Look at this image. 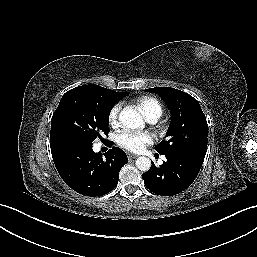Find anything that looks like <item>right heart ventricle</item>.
Instances as JSON below:
<instances>
[{"label":"right heart ventricle","instance_id":"obj_1","mask_svg":"<svg viewBox=\"0 0 257 257\" xmlns=\"http://www.w3.org/2000/svg\"><path fill=\"white\" fill-rule=\"evenodd\" d=\"M134 103L147 120H157L163 113V105L155 96H141Z\"/></svg>","mask_w":257,"mask_h":257}]
</instances>
